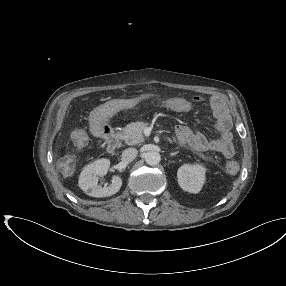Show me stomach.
I'll return each instance as SVG.
<instances>
[{
  "label": "stomach",
  "mask_w": 286,
  "mask_h": 286,
  "mask_svg": "<svg viewBox=\"0 0 286 286\" xmlns=\"http://www.w3.org/2000/svg\"><path fill=\"white\" fill-rule=\"evenodd\" d=\"M146 98H154V99H158L160 98V95H157V94H153V93H148L146 94L145 96Z\"/></svg>",
  "instance_id": "0dacf381"
}]
</instances>
